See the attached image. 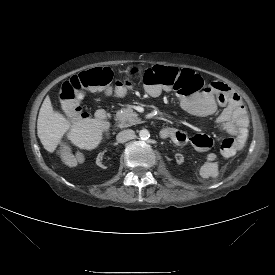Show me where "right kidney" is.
Listing matches in <instances>:
<instances>
[{
  "instance_id": "1",
  "label": "right kidney",
  "mask_w": 275,
  "mask_h": 275,
  "mask_svg": "<svg viewBox=\"0 0 275 275\" xmlns=\"http://www.w3.org/2000/svg\"><path fill=\"white\" fill-rule=\"evenodd\" d=\"M113 160L114 157L108 152L101 153L95 158L97 165L104 169L110 168Z\"/></svg>"
}]
</instances>
